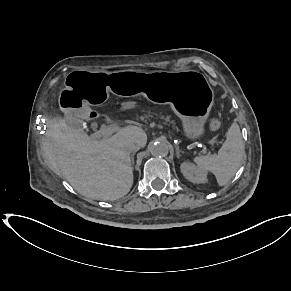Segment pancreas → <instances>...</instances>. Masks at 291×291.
<instances>
[{
	"mask_svg": "<svg viewBox=\"0 0 291 291\" xmlns=\"http://www.w3.org/2000/svg\"><path fill=\"white\" fill-rule=\"evenodd\" d=\"M136 117L146 121H157L165 125L170 126L173 130L178 131V126L175 120L171 119V116L164 113L159 108H147L142 109L141 114H136Z\"/></svg>",
	"mask_w": 291,
	"mask_h": 291,
	"instance_id": "1",
	"label": "pancreas"
}]
</instances>
